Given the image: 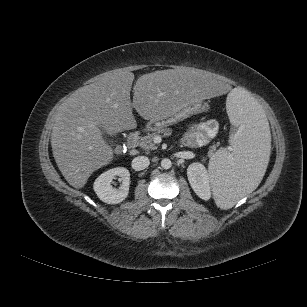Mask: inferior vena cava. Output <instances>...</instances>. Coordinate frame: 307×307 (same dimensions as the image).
I'll list each match as a JSON object with an SVG mask.
<instances>
[{
    "instance_id": "602c4592",
    "label": "inferior vena cava",
    "mask_w": 307,
    "mask_h": 307,
    "mask_svg": "<svg viewBox=\"0 0 307 307\" xmlns=\"http://www.w3.org/2000/svg\"><path fill=\"white\" fill-rule=\"evenodd\" d=\"M150 164L148 157L146 156H137L132 160V168L135 171H141L147 168Z\"/></svg>"
}]
</instances>
